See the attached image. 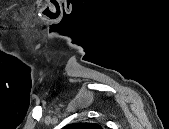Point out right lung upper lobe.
Returning <instances> with one entry per match:
<instances>
[{
	"mask_svg": "<svg viewBox=\"0 0 169 129\" xmlns=\"http://www.w3.org/2000/svg\"><path fill=\"white\" fill-rule=\"evenodd\" d=\"M67 129H90V128H99V125L92 123H74L65 126Z\"/></svg>",
	"mask_w": 169,
	"mask_h": 129,
	"instance_id": "1",
	"label": "right lung upper lobe"
}]
</instances>
